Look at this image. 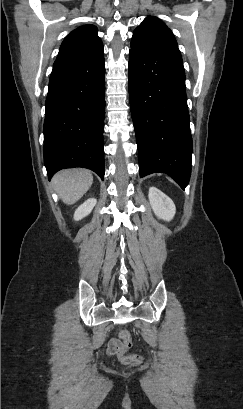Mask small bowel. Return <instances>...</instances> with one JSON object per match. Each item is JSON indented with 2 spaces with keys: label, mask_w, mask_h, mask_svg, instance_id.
<instances>
[{
  "label": "small bowel",
  "mask_w": 243,
  "mask_h": 409,
  "mask_svg": "<svg viewBox=\"0 0 243 409\" xmlns=\"http://www.w3.org/2000/svg\"><path fill=\"white\" fill-rule=\"evenodd\" d=\"M119 350H120V342L115 338L110 339V341L108 342L107 350H106L107 355L111 357H118Z\"/></svg>",
  "instance_id": "small-bowel-1"
}]
</instances>
